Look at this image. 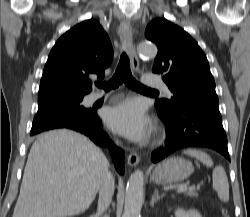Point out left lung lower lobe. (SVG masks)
<instances>
[{
	"mask_svg": "<svg viewBox=\"0 0 250 217\" xmlns=\"http://www.w3.org/2000/svg\"><path fill=\"white\" fill-rule=\"evenodd\" d=\"M157 111L167 127V141L164 148L152 154L153 162L188 147L211 148L230 160L218 99L189 102L173 114Z\"/></svg>",
	"mask_w": 250,
	"mask_h": 217,
	"instance_id": "left-lung-lower-lobe-1",
	"label": "left lung lower lobe"
}]
</instances>
